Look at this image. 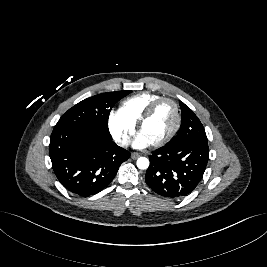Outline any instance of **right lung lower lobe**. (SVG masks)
Segmentation results:
<instances>
[{
	"instance_id": "right-lung-lower-lobe-1",
	"label": "right lung lower lobe",
	"mask_w": 267,
	"mask_h": 267,
	"mask_svg": "<svg viewBox=\"0 0 267 267\" xmlns=\"http://www.w3.org/2000/svg\"><path fill=\"white\" fill-rule=\"evenodd\" d=\"M49 155L60 183L71 193L88 197L113 180L130 152L112 141L108 129L54 127Z\"/></svg>"
}]
</instances>
